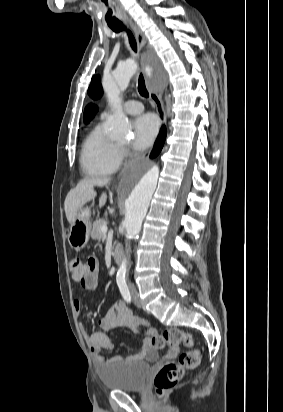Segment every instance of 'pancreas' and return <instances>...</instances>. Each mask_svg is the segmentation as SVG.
Listing matches in <instances>:
<instances>
[{
	"label": "pancreas",
	"instance_id": "pancreas-1",
	"mask_svg": "<svg viewBox=\"0 0 283 412\" xmlns=\"http://www.w3.org/2000/svg\"><path fill=\"white\" fill-rule=\"evenodd\" d=\"M106 224V221L104 219H99L98 221H95L91 227V237L94 240H100L102 236L101 232V226Z\"/></svg>",
	"mask_w": 283,
	"mask_h": 412
}]
</instances>
